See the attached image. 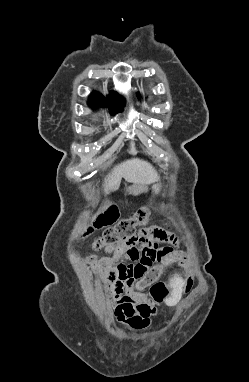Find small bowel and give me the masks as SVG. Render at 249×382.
<instances>
[{
    "mask_svg": "<svg viewBox=\"0 0 249 382\" xmlns=\"http://www.w3.org/2000/svg\"><path fill=\"white\" fill-rule=\"evenodd\" d=\"M138 237L140 241H122L105 246V255H88L86 261L106 290L116 320L139 330L149 327L150 317L155 313L154 305H160L162 301L143 293L142 290L152 282H140L130 277L128 270L131 264L120 263V260L126 253L128 262H139L143 258V250L140 248H157L160 243L167 244L161 248L174 251L173 246L177 245L178 238L163 226L144 228ZM187 288L186 282L185 292Z\"/></svg>",
    "mask_w": 249,
    "mask_h": 382,
    "instance_id": "1",
    "label": "small bowel"
}]
</instances>
